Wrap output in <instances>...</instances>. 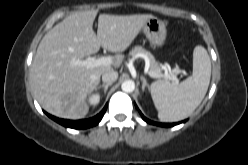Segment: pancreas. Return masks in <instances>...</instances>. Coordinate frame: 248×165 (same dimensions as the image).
Wrapping results in <instances>:
<instances>
[{"mask_svg":"<svg viewBox=\"0 0 248 165\" xmlns=\"http://www.w3.org/2000/svg\"><path fill=\"white\" fill-rule=\"evenodd\" d=\"M131 56L137 55V54H143L145 55L148 59H149V63H150V71L152 72H156V73H160L161 72V64L158 63L154 56L147 51L146 49H144L141 46H135L134 48H132V50L129 53Z\"/></svg>","mask_w":248,"mask_h":165,"instance_id":"1","label":"pancreas"}]
</instances>
